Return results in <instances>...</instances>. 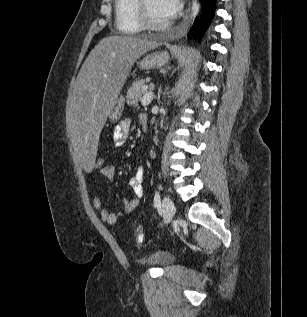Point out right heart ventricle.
Returning a JSON list of instances; mask_svg holds the SVG:
<instances>
[{
	"mask_svg": "<svg viewBox=\"0 0 307 317\" xmlns=\"http://www.w3.org/2000/svg\"><path fill=\"white\" fill-rule=\"evenodd\" d=\"M116 28L123 34H135L143 29L140 22L137 0H114Z\"/></svg>",
	"mask_w": 307,
	"mask_h": 317,
	"instance_id": "1",
	"label": "right heart ventricle"
}]
</instances>
